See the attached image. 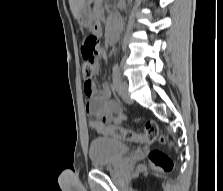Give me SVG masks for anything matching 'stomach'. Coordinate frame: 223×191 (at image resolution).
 <instances>
[{"label":"stomach","mask_w":223,"mask_h":191,"mask_svg":"<svg viewBox=\"0 0 223 191\" xmlns=\"http://www.w3.org/2000/svg\"><path fill=\"white\" fill-rule=\"evenodd\" d=\"M91 0H86L84 7L82 8L80 15L78 17V23L82 27L89 28L93 25L94 22V13L90 8Z\"/></svg>","instance_id":"1"}]
</instances>
